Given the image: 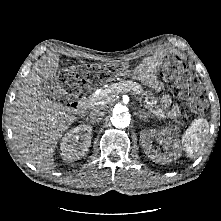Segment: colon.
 Segmentation results:
<instances>
[{"mask_svg": "<svg viewBox=\"0 0 221 221\" xmlns=\"http://www.w3.org/2000/svg\"><path fill=\"white\" fill-rule=\"evenodd\" d=\"M114 70L110 67L73 66L59 72L57 82L67 98L78 96L90 82L107 79ZM161 75L172 80L181 90L192 113L205 111L207 101L203 89L192 73L184 65L168 64Z\"/></svg>", "mask_w": 221, "mask_h": 221, "instance_id": "5ec220e1", "label": "colon"}]
</instances>
